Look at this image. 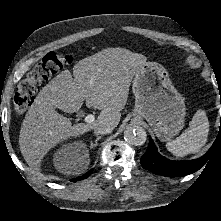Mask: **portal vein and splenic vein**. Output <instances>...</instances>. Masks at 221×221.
Instances as JSON below:
<instances>
[{"label": "portal vein and splenic vein", "mask_w": 221, "mask_h": 221, "mask_svg": "<svg viewBox=\"0 0 221 221\" xmlns=\"http://www.w3.org/2000/svg\"><path fill=\"white\" fill-rule=\"evenodd\" d=\"M94 120H95V117H94V115H92V114H89V115H87V116L84 118V121H85L86 123H92V122H94Z\"/></svg>", "instance_id": "obj_1"}]
</instances>
